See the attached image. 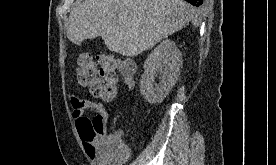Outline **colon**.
<instances>
[{"label":"colon","mask_w":276,"mask_h":165,"mask_svg":"<svg viewBox=\"0 0 276 165\" xmlns=\"http://www.w3.org/2000/svg\"><path fill=\"white\" fill-rule=\"evenodd\" d=\"M119 76L125 83L131 84L134 78L133 64L110 53H102L97 60L89 53H81L77 57V77L81 85L87 87L89 93L105 101L112 100L117 91ZM83 142L88 146L104 140L107 149L122 155L118 142L103 133L99 123L82 117L77 124Z\"/></svg>","instance_id":"obj_1"}]
</instances>
